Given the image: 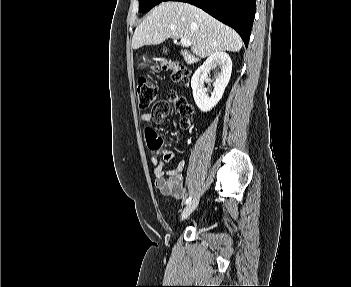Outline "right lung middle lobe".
Returning a JSON list of instances; mask_svg holds the SVG:
<instances>
[{
  "mask_svg": "<svg viewBox=\"0 0 351 287\" xmlns=\"http://www.w3.org/2000/svg\"><path fill=\"white\" fill-rule=\"evenodd\" d=\"M164 0H139V11L146 13Z\"/></svg>",
  "mask_w": 351,
  "mask_h": 287,
  "instance_id": "obj_1",
  "label": "right lung middle lobe"
}]
</instances>
